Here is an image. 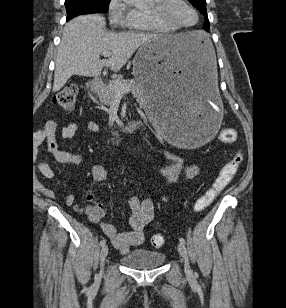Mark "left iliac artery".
Segmentation results:
<instances>
[{"instance_id":"1","label":"left iliac artery","mask_w":286,"mask_h":308,"mask_svg":"<svg viewBox=\"0 0 286 308\" xmlns=\"http://www.w3.org/2000/svg\"><path fill=\"white\" fill-rule=\"evenodd\" d=\"M179 241H180V243H182V244H184V245L186 244L185 239H184V238H182V237L179 239Z\"/></svg>"}]
</instances>
